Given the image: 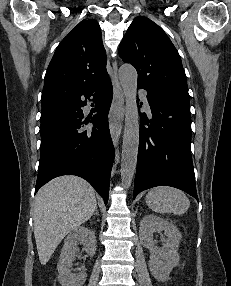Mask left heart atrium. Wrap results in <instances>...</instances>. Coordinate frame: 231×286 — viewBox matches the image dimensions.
Masks as SVG:
<instances>
[{"instance_id": "1", "label": "left heart atrium", "mask_w": 231, "mask_h": 286, "mask_svg": "<svg viewBox=\"0 0 231 286\" xmlns=\"http://www.w3.org/2000/svg\"><path fill=\"white\" fill-rule=\"evenodd\" d=\"M119 119V114L118 113H116L115 115H113L111 118H110V120H113V121H117Z\"/></svg>"}]
</instances>
